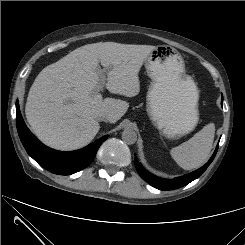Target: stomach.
I'll return each instance as SVG.
<instances>
[{"label": "stomach", "instance_id": "0dacf381", "mask_svg": "<svg viewBox=\"0 0 245 245\" xmlns=\"http://www.w3.org/2000/svg\"><path fill=\"white\" fill-rule=\"evenodd\" d=\"M151 84L147 112L154 125L168 138L184 136L199 121V91L186 74L181 54L168 45H159L144 61Z\"/></svg>", "mask_w": 245, "mask_h": 245}]
</instances>
